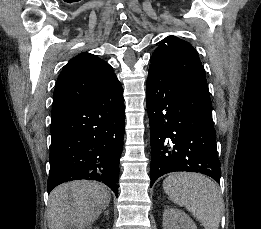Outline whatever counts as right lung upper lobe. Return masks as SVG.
<instances>
[{
  "label": "right lung upper lobe",
  "instance_id": "cb5924a9",
  "mask_svg": "<svg viewBox=\"0 0 261 229\" xmlns=\"http://www.w3.org/2000/svg\"><path fill=\"white\" fill-rule=\"evenodd\" d=\"M115 78L112 67L96 55L85 52L74 57L58 77L51 118L97 93Z\"/></svg>",
  "mask_w": 261,
  "mask_h": 229
}]
</instances>
